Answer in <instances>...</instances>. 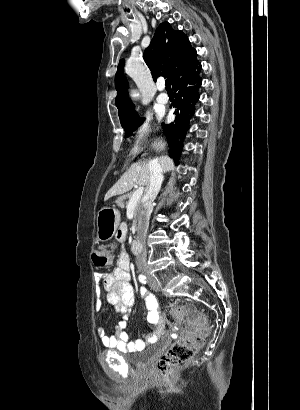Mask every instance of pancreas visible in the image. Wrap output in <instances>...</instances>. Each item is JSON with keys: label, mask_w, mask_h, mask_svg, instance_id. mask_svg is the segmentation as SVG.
<instances>
[{"label": "pancreas", "mask_w": 300, "mask_h": 410, "mask_svg": "<svg viewBox=\"0 0 300 410\" xmlns=\"http://www.w3.org/2000/svg\"><path fill=\"white\" fill-rule=\"evenodd\" d=\"M133 193L130 192L126 195L121 196L120 198H118L117 200V204L120 205L121 207H124L125 204V200H130V198L132 197ZM126 204H128V202H126ZM141 209V201H138L136 206H135V210L134 213L135 215L138 213V211Z\"/></svg>", "instance_id": "pancreas-1"}]
</instances>
